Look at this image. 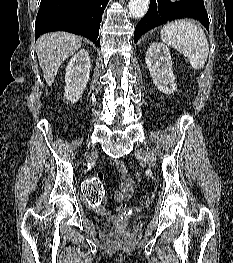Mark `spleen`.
<instances>
[{
	"mask_svg": "<svg viewBox=\"0 0 233 263\" xmlns=\"http://www.w3.org/2000/svg\"><path fill=\"white\" fill-rule=\"evenodd\" d=\"M160 36L164 43L187 57L194 69L204 67L209 44L203 29L193 21L184 19L170 22L163 26Z\"/></svg>",
	"mask_w": 233,
	"mask_h": 263,
	"instance_id": "3e777b00",
	"label": "spleen"
}]
</instances>
